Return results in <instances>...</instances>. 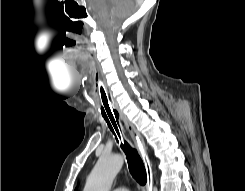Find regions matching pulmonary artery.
Segmentation results:
<instances>
[{
    "mask_svg": "<svg viewBox=\"0 0 245 191\" xmlns=\"http://www.w3.org/2000/svg\"><path fill=\"white\" fill-rule=\"evenodd\" d=\"M114 191H130V190H128V189H126V188H117V189H115Z\"/></svg>",
    "mask_w": 245,
    "mask_h": 191,
    "instance_id": "1",
    "label": "pulmonary artery"
}]
</instances>
